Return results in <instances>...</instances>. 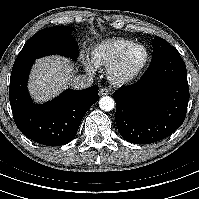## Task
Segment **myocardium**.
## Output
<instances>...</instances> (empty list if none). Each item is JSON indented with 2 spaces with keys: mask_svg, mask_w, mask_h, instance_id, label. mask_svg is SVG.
Masks as SVG:
<instances>
[{
  "mask_svg": "<svg viewBox=\"0 0 199 199\" xmlns=\"http://www.w3.org/2000/svg\"><path fill=\"white\" fill-rule=\"evenodd\" d=\"M142 48L144 51V57L139 65V67L132 73H125L124 72V65L127 60V57L129 54L137 49ZM150 60V53L148 48L140 43H134L130 45L128 48H126L116 59V61L107 69V75L108 80L110 83L117 85V86H126L130 85L137 80L140 79V77L145 72Z\"/></svg>",
  "mask_w": 199,
  "mask_h": 199,
  "instance_id": "obj_1",
  "label": "myocardium"
}]
</instances>
